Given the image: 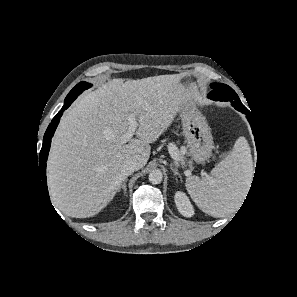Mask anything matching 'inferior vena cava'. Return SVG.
<instances>
[{"label": "inferior vena cava", "mask_w": 297, "mask_h": 297, "mask_svg": "<svg viewBox=\"0 0 297 297\" xmlns=\"http://www.w3.org/2000/svg\"><path fill=\"white\" fill-rule=\"evenodd\" d=\"M139 169L138 164L133 161L129 160L126 161L122 166H121V174L126 177L131 175L134 171H137Z\"/></svg>", "instance_id": "inferior-vena-cava-1"}]
</instances>
